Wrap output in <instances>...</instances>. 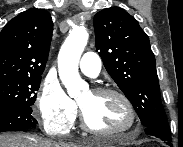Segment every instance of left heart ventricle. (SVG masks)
<instances>
[{
  "instance_id": "obj_1",
  "label": "left heart ventricle",
  "mask_w": 183,
  "mask_h": 147,
  "mask_svg": "<svg viewBox=\"0 0 183 147\" xmlns=\"http://www.w3.org/2000/svg\"><path fill=\"white\" fill-rule=\"evenodd\" d=\"M79 104L89 123L100 130H119L128 126L129 113L124 103L113 95H96L86 92Z\"/></svg>"
}]
</instances>
